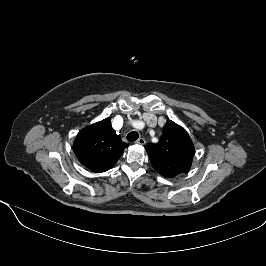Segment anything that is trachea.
I'll list each match as a JSON object with an SVG mask.
<instances>
[{
    "instance_id": "1",
    "label": "trachea",
    "mask_w": 266,
    "mask_h": 266,
    "mask_svg": "<svg viewBox=\"0 0 266 266\" xmlns=\"http://www.w3.org/2000/svg\"><path fill=\"white\" fill-rule=\"evenodd\" d=\"M139 138V134L136 131L130 132L127 135V140L130 142H134Z\"/></svg>"
}]
</instances>
